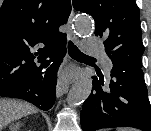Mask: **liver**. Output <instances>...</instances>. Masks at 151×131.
<instances>
[{"label":"liver","mask_w":151,"mask_h":131,"mask_svg":"<svg viewBox=\"0 0 151 131\" xmlns=\"http://www.w3.org/2000/svg\"><path fill=\"white\" fill-rule=\"evenodd\" d=\"M34 112H36V109L29 103L0 100V131L9 123Z\"/></svg>","instance_id":"obj_1"}]
</instances>
